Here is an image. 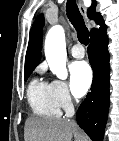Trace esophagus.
Here are the masks:
<instances>
[{
    "label": "esophagus",
    "mask_w": 119,
    "mask_h": 141,
    "mask_svg": "<svg viewBox=\"0 0 119 141\" xmlns=\"http://www.w3.org/2000/svg\"><path fill=\"white\" fill-rule=\"evenodd\" d=\"M79 9H80L81 14L84 16V18L87 19L86 9L81 0H79Z\"/></svg>",
    "instance_id": "obj_1"
}]
</instances>
